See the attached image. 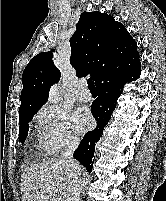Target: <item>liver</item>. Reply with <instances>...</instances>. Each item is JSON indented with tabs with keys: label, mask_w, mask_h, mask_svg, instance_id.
Masks as SVG:
<instances>
[{
	"label": "liver",
	"mask_w": 166,
	"mask_h": 201,
	"mask_svg": "<svg viewBox=\"0 0 166 201\" xmlns=\"http://www.w3.org/2000/svg\"><path fill=\"white\" fill-rule=\"evenodd\" d=\"M72 185V169L67 162L52 159L32 164L21 175L22 201H68Z\"/></svg>",
	"instance_id": "6515ba94"
}]
</instances>
